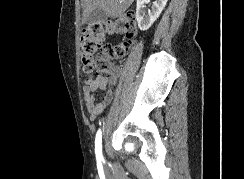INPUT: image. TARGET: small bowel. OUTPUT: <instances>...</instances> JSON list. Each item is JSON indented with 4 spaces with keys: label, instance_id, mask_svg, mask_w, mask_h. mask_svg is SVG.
I'll use <instances>...</instances> for the list:
<instances>
[{
    "label": "small bowel",
    "instance_id": "obj_1",
    "mask_svg": "<svg viewBox=\"0 0 244 179\" xmlns=\"http://www.w3.org/2000/svg\"><path fill=\"white\" fill-rule=\"evenodd\" d=\"M118 72L119 70L114 67L111 69L110 74L117 75ZM101 89H103V84H100V89H91L90 85L83 90V100L91 119H95L102 114L113 99V92L110 89H106L102 98L97 99L96 94Z\"/></svg>",
    "mask_w": 244,
    "mask_h": 179
}]
</instances>
